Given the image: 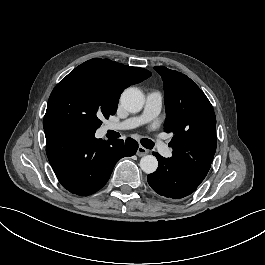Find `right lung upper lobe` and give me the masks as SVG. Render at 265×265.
Returning <instances> with one entry per match:
<instances>
[{"instance_id":"cb5924a9","label":"right lung upper lobe","mask_w":265,"mask_h":265,"mask_svg":"<svg viewBox=\"0 0 265 265\" xmlns=\"http://www.w3.org/2000/svg\"><path fill=\"white\" fill-rule=\"evenodd\" d=\"M81 65L96 67L109 80L113 91L119 95L128 86L142 82L151 76V72L146 69L130 67L109 59L94 58Z\"/></svg>"}]
</instances>
